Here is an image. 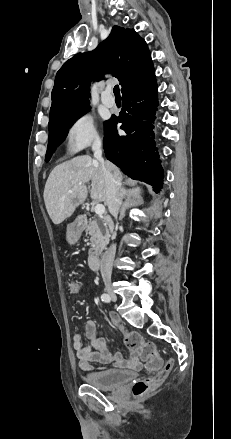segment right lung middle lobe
Returning a JSON list of instances; mask_svg holds the SVG:
<instances>
[{
  "label": "right lung middle lobe",
  "instance_id": "obj_1",
  "mask_svg": "<svg viewBox=\"0 0 231 439\" xmlns=\"http://www.w3.org/2000/svg\"><path fill=\"white\" fill-rule=\"evenodd\" d=\"M87 110H84L75 116L66 118L56 123L55 125L49 127V142H48L47 153L45 157L46 162H48L51 159V156L56 150V147L60 145L61 142L64 140V138L67 136L69 128L79 117L84 115L87 112ZM105 124H107V121L105 122Z\"/></svg>",
  "mask_w": 231,
  "mask_h": 439
}]
</instances>
